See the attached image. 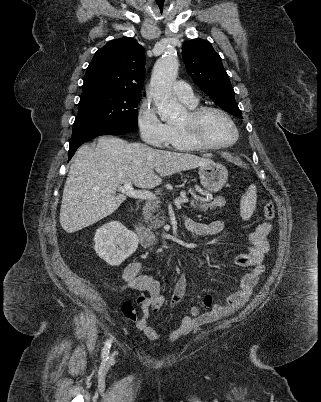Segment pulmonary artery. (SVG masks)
<instances>
[{
	"label": "pulmonary artery",
	"mask_w": 321,
	"mask_h": 402,
	"mask_svg": "<svg viewBox=\"0 0 321 402\" xmlns=\"http://www.w3.org/2000/svg\"><path fill=\"white\" fill-rule=\"evenodd\" d=\"M173 94L184 103H192L197 101L191 86L183 81H177L172 87Z\"/></svg>",
	"instance_id": "obj_1"
}]
</instances>
